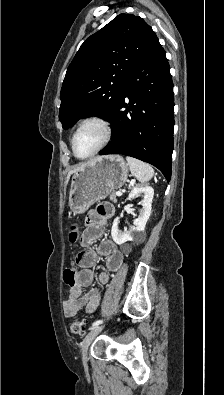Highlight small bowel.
<instances>
[{"label": "small bowel", "mask_w": 224, "mask_h": 395, "mask_svg": "<svg viewBox=\"0 0 224 395\" xmlns=\"http://www.w3.org/2000/svg\"><path fill=\"white\" fill-rule=\"evenodd\" d=\"M113 213L114 208L109 203H102L95 210L89 212L87 227L82 235L84 246L102 238L107 219ZM99 257L105 259L106 268L111 273L120 269L124 259L123 253L117 248L116 243L110 239L103 240L96 249H85L79 255L77 262L81 270L77 273L69 297L63 304L64 313L67 317L75 316L81 309H84L86 313H93L98 308L101 299L100 292L95 288L89 289L87 292H83V289L92 284L94 274L91 267L97 263ZM109 272L102 271L98 274V281L101 284L109 282Z\"/></svg>", "instance_id": "1"}]
</instances>
